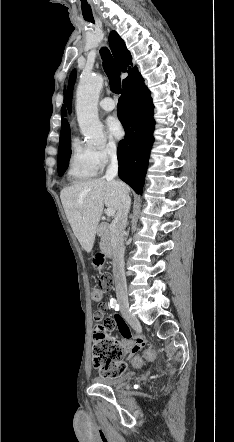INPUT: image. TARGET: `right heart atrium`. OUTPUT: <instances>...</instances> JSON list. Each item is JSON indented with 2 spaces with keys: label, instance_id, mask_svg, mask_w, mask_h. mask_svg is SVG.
Wrapping results in <instances>:
<instances>
[{
  "label": "right heart atrium",
  "instance_id": "right-heart-atrium-1",
  "mask_svg": "<svg viewBox=\"0 0 234 442\" xmlns=\"http://www.w3.org/2000/svg\"><path fill=\"white\" fill-rule=\"evenodd\" d=\"M118 147L113 141H109L104 146L94 149V155L99 168L104 167L117 157Z\"/></svg>",
  "mask_w": 234,
  "mask_h": 442
}]
</instances>
